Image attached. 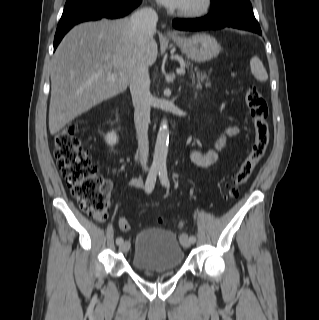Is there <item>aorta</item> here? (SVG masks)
Masks as SVG:
<instances>
[{
	"mask_svg": "<svg viewBox=\"0 0 319 320\" xmlns=\"http://www.w3.org/2000/svg\"><path fill=\"white\" fill-rule=\"evenodd\" d=\"M169 145V130L168 123L166 119H163L160 128L158 131L155 149L153 164L157 167H166V158L168 153Z\"/></svg>",
	"mask_w": 319,
	"mask_h": 320,
	"instance_id": "1",
	"label": "aorta"
}]
</instances>
